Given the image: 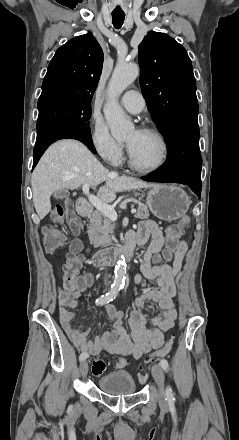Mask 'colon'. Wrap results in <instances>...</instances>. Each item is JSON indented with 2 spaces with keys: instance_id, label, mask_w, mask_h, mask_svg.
I'll return each instance as SVG.
<instances>
[{
  "instance_id": "5ec220e1",
  "label": "colon",
  "mask_w": 239,
  "mask_h": 440,
  "mask_svg": "<svg viewBox=\"0 0 239 440\" xmlns=\"http://www.w3.org/2000/svg\"><path fill=\"white\" fill-rule=\"evenodd\" d=\"M53 219L57 222H64L65 220L69 223L73 231L79 232L81 229V222L79 216L77 215L71 202H67L64 206H59L55 209L53 213ZM191 224V218L189 215H184L180 218L179 223L172 225L168 229V235L166 240V250L165 252L169 255L173 253L178 244V239L183 234L184 230L189 228ZM62 235L54 229H46L44 231V246L48 253L55 252L61 245ZM81 245L75 243L72 248V252L69 254L66 264L64 265V274L72 280H75L81 267L82 259L78 255ZM173 337L167 339L165 345L162 348L155 350L150 353L144 362H153L157 359L167 355L172 347ZM120 367H124L127 361L121 360L119 362ZM92 372L96 376L104 375L108 372V364L101 358H95L92 363ZM139 381H144L146 379V374L144 372L139 373Z\"/></svg>"
}]
</instances>
